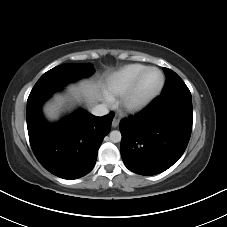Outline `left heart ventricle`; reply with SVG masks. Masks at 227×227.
Listing matches in <instances>:
<instances>
[{
	"mask_svg": "<svg viewBox=\"0 0 227 227\" xmlns=\"http://www.w3.org/2000/svg\"><path fill=\"white\" fill-rule=\"evenodd\" d=\"M161 76L156 70L148 71L139 86L138 96L143 97L152 93L160 84Z\"/></svg>",
	"mask_w": 227,
	"mask_h": 227,
	"instance_id": "1",
	"label": "left heart ventricle"
}]
</instances>
